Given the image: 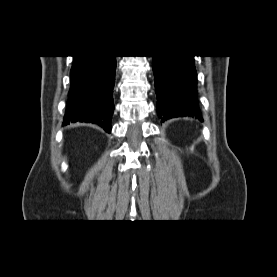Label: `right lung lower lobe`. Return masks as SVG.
Listing matches in <instances>:
<instances>
[{
	"label": "right lung lower lobe",
	"instance_id": "obj_1",
	"mask_svg": "<svg viewBox=\"0 0 277 277\" xmlns=\"http://www.w3.org/2000/svg\"><path fill=\"white\" fill-rule=\"evenodd\" d=\"M64 124L88 122L111 130L116 56H73Z\"/></svg>",
	"mask_w": 277,
	"mask_h": 277
}]
</instances>
